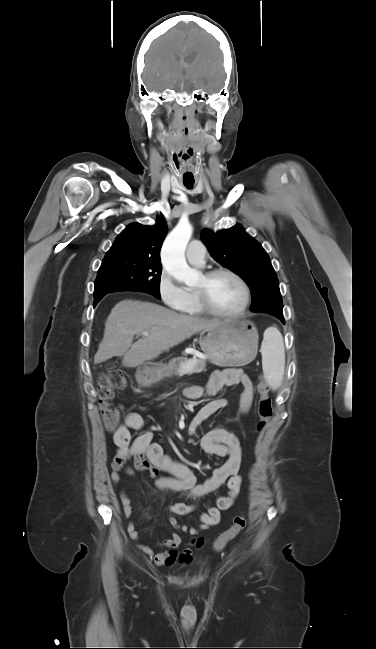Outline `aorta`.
Returning a JSON list of instances; mask_svg holds the SVG:
<instances>
[{"instance_id": "aorta-1", "label": "aorta", "mask_w": 376, "mask_h": 649, "mask_svg": "<svg viewBox=\"0 0 376 649\" xmlns=\"http://www.w3.org/2000/svg\"><path fill=\"white\" fill-rule=\"evenodd\" d=\"M192 232L190 223L180 221L165 239L161 251L163 268L177 281L187 285L196 283L199 276V272L189 267L185 259V249Z\"/></svg>"}]
</instances>
